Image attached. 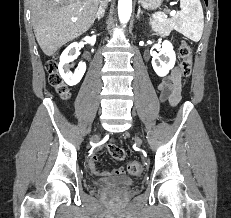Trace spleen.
<instances>
[{"label":"spleen","mask_w":231,"mask_h":218,"mask_svg":"<svg viewBox=\"0 0 231 218\" xmlns=\"http://www.w3.org/2000/svg\"><path fill=\"white\" fill-rule=\"evenodd\" d=\"M181 11L172 19L158 12L154 18L160 22L169 23L176 31L192 41L198 42L203 33L204 15L200 0H180Z\"/></svg>","instance_id":"spleen-1"}]
</instances>
